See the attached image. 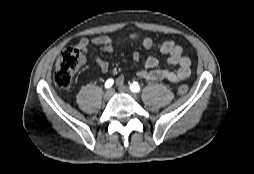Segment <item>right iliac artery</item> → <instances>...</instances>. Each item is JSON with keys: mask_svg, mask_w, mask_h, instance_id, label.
<instances>
[{"mask_svg": "<svg viewBox=\"0 0 254 174\" xmlns=\"http://www.w3.org/2000/svg\"><path fill=\"white\" fill-rule=\"evenodd\" d=\"M114 83V80L113 79H108L106 82H105V88H110Z\"/></svg>", "mask_w": 254, "mask_h": 174, "instance_id": "1", "label": "right iliac artery"}]
</instances>
